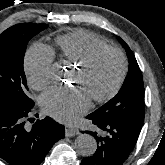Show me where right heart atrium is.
<instances>
[{"label": "right heart atrium", "mask_w": 165, "mask_h": 165, "mask_svg": "<svg viewBox=\"0 0 165 165\" xmlns=\"http://www.w3.org/2000/svg\"><path fill=\"white\" fill-rule=\"evenodd\" d=\"M53 62L54 52L43 44H34L28 50L25 57V72L32 88L41 90L52 82Z\"/></svg>", "instance_id": "1"}]
</instances>
